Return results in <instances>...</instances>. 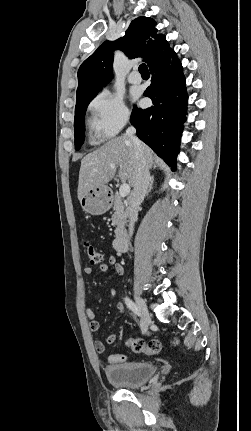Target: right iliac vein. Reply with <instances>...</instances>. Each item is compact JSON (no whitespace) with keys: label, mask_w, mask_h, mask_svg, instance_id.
<instances>
[{"label":"right iliac vein","mask_w":251,"mask_h":431,"mask_svg":"<svg viewBox=\"0 0 251 431\" xmlns=\"http://www.w3.org/2000/svg\"><path fill=\"white\" fill-rule=\"evenodd\" d=\"M134 298L141 311L142 330L144 333H146L151 323V316L149 314L145 301L136 293H134Z\"/></svg>","instance_id":"1"}]
</instances>
